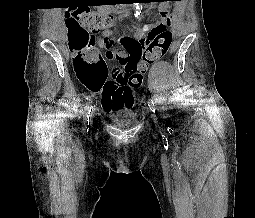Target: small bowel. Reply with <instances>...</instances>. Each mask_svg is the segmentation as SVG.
Listing matches in <instances>:
<instances>
[{
  "label": "small bowel",
  "instance_id": "small-bowel-1",
  "mask_svg": "<svg viewBox=\"0 0 255 218\" xmlns=\"http://www.w3.org/2000/svg\"><path fill=\"white\" fill-rule=\"evenodd\" d=\"M166 12L168 13V6L166 4H162L159 6L156 16L154 17V21L158 22V16L162 17V13ZM133 31H136V33L139 31V29H134ZM113 33L109 30H105L102 32V35L98 38L97 44L100 48H109V42L112 40ZM120 64L124 67L125 60L119 61ZM104 96H102V106L106 111H109L106 109L103 105ZM130 109V108H128Z\"/></svg>",
  "mask_w": 255,
  "mask_h": 218
}]
</instances>
